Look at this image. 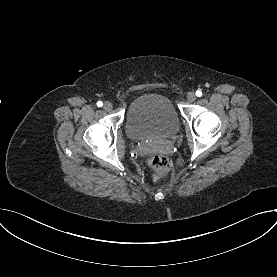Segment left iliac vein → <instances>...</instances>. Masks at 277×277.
Wrapping results in <instances>:
<instances>
[{"instance_id":"left-iliac-vein-1","label":"left iliac vein","mask_w":277,"mask_h":277,"mask_svg":"<svg viewBox=\"0 0 277 277\" xmlns=\"http://www.w3.org/2000/svg\"><path fill=\"white\" fill-rule=\"evenodd\" d=\"M187 100H188L189 102H194V101L196 100V95H195V93H194V92H189V93L187 94Z\"/></svg>"}]
</instances>
